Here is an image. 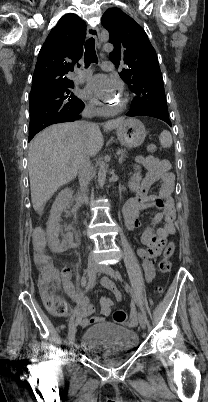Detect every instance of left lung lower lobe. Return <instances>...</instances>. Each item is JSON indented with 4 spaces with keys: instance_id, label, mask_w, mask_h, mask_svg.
Listing matches in <instances>:
<instances>
[{
    "instance_id": "obj_1",
    "label": "left lung lower lobe",
    "mask_w": 208,
    "mask_h": 402,
    "mask_svg": "<svg viewBox=\"0 0 208 402\" xmlns=\"http://www.w3.org/2000/svg\"><path fill=\"white\" fill-rule=\"evenodd\" d=\"M127 116H151V117H155V118H158L160 120H163V121H165L166 123H168L171 126L169 118L163 117V116H161L159 114L152 113V112L130 110L128 112Z\"/></svg>"
}]
</instances>
